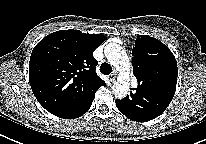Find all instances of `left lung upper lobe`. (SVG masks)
Instances as JSON below:
<instances>
[{
	"instance_id": "left-lung-upper-lobe-1",
	"label": "left lung upper lobe",
	"mask_w": 206,
	"mask_h": 144,
	"mask_svg": "<svg viewBox=\"0 0 206 144\" xmlns=\"http://www.w3.org/2000/svg\"><path fill=\"white\" fill-rule=\"evenodd\" d=\"M132 56L133 74L138 87L124 98H128L131 113L140 112L142 99H161L163 107L167 108L173 99L178 76L173 53L158 39L138 35Z\"/></svg>"
}]
</instances>
